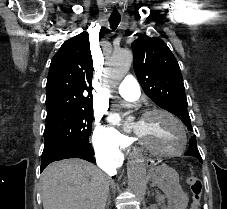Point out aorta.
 <instances>
[{
    "instance_id": "762f6f07",
    "label": "aorta",
    "mask_w": 227,
    "mask_h": 209,
    "mask_svg": "<svg viewBox=\"0 0 227 209\" xmlns=\"http://www.w3.org/2000/svg\"><path fill=\"white\" fill-rule=\"evenodd\" d=\"M133 61L132 52L128 49H121L114 52L107 60L104 69V86L110 89L121 80L128 72ZM127 176L131 189L135 195L142 200L147 189V164L141 155L134 153L127 163Z\"/></svg>"
}]
</instances>
